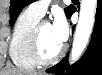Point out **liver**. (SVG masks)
<instances>
[{"label": "liver", "instance_id": "1", "mask_svg": "<svg viewBox=\"0 0 102 75\" xmlns=\"http://www.w3.org/2000/svg\"><path fill=\"white\" fill-rule=\"evenodd\" d=\"M2 75H40V74H38L36 72L28 73V72L19 70L17 68H9V69L5 70L4 72H2Z\"/></svg>", "mask_w": 102, "mask_h": 75}]
</instances>
